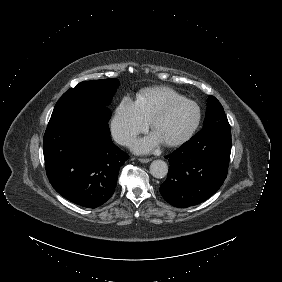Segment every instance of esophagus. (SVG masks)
Instances as JSON below:
<instances>
[{"label": "esophagus", "mask_w": 282, "mask_h": 282, "mask_svg": "<svg viewBox=\"0 0 282 282\" xmlns=\"http://www.w3.org/2000/svg\"><path fill=\"white\" fill-rule=\"evenodd\" d=\"M138 161L142 163H147V162H150L151 159L150 158H139Z\"/></svg>", "instance_id": "obj_1"}]
</instances>
